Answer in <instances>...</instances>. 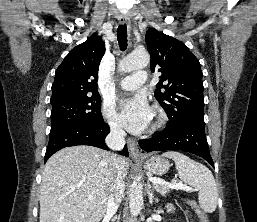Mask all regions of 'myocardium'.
<instances>
[{"label": "myocardium", "mask_w": 257, "mask_h": 222, "mask_svg": "<svg viewBox=\"0 0 257 222\" xmlns=\"http://www.w3.org/2000/svg\"><path fill=\"white\" fill-rule=\"evenodd\" d=\"M166 121V114L159 106L155 108V120L152 124V130L161 128Z\"/></svg>", "instance_id": "f54148a6"}]
</instances>
